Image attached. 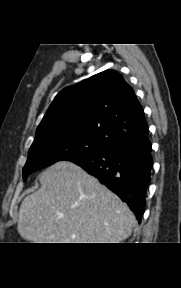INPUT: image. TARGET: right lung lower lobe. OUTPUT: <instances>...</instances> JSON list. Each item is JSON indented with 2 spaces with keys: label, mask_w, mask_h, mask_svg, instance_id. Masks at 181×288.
<instances>
[{
  "label": "right lung lower lobe",
  "mask_w": 181,
  "mask_h": 288,
  "mask_svg": "<svg viewBox=\"0 0 181 288\" xmlns=\"http://www.w3.org/2000/svg\"><path fill=\"white\" fill-rule=\"evenodd\" d=\"M151 146L149 139L139 143L117 144L71 162L116 193L128 204L140 222L153 166Z\"/></svg>",
  "instance_id": "right-lung-lower-lobe-1"
}]
</instances>
